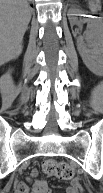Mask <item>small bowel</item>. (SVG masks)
<instances>
[{"mask_svg":"<svg viewBox=\"0 0 103 193\" xmlns=\"http://www.w3.org/2000/svg\"><path fill=\"white\" fill-rule=\"evenodd\" d=\"M37 173L36 169L32 171L31 189L24 183H17L15 185L16 193H29V191L31 193H51L46 181L36 178ZM66 193H82L79 180H72L66 188Z\"/></svg>","mask_w":103,"mask_h":193,"instance_id":"c3829d8e","label":"small bowel"}]
</instances>
